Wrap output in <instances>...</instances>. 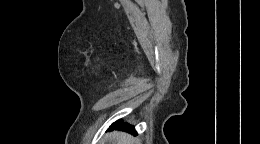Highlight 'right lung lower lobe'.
<instances>
[{"instance_id": "obj_1", "label": "right lung lower lobe", "mask_w": 260, "mask_h": 144, "mask_svg": "<svg viewBox=\"0 0 260 144\" xmlns=\"http://www.w3.org/2000/svg\"><path fill=\"white\" fill-rule=\"evenodd\" d=\"M114 128H120V129H124V130H127V131H134V127L129 125V124H126V123H121L120 120L116 121L115 123H113L109 129H114Z\"/></svg>"}]
</instances>
